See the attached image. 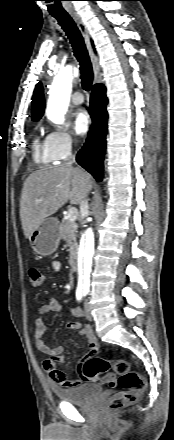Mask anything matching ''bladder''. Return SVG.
I'll use <instances>...</instances> for the list:
<instances>
[{
  "mask_svg": "<svg viewBox=\"0 0 174 440\" xmlns=\"http://www.w3.org/2000/svg\"><path fill=\"white\" fill-rule=\"evenodd\" d=\"M102 389L95 384H81L71 388H54L58 399L64 402L87 404L100 395Z\"/></svg>",
  "mask_w": 174,
  "mask_h": 440,
  "instance_id": "obj_1",
  "label": "bladder"
}]
</instances>
